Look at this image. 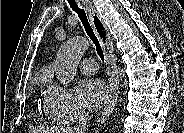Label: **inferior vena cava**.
Returning a JSON list of instances; mask_svg holds the SVG:
<instances>
[{
    "instance_id": "inferior-vena-cava-1",
    "label": "inferior vena cava",
    "mask_w": 184,
    "mask_h": 133,
    "mask_svg": "<svg viewBox=\"0 0 184 133\" xmlns=\"http://www.w3.org/2000/svg\"><path fill=\"white\" fill-rule=\"evenodd\" d=\"M77 114H78V126L74 129V132L75 133H85L86 130L88 129L89 127V124H88V121H87V113L79 108L77 110Z\"/></svg>"
}]
</instances>
